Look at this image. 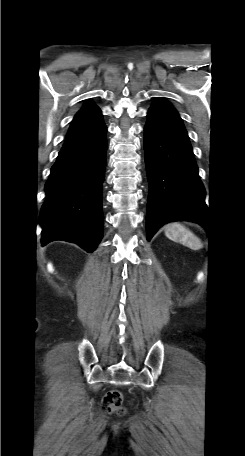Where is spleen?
<instances>
[{"label": "spleen", "instance_id": "obj_1", "mask_svg": "<svg viewBox=\"0 0 245 456\" xmlns=\"http://www.w3.org/2000/svg\"><path fill=\"white\" fill-rule=\"evenodd\" d=\"M165 235L169 239L181 242L194 250L199 249L201 246L200 240L189 229L177 222L168 224L165 227Z\"/></svg>", "mask_w": 245, "mask_h": 456}]
</instances>
